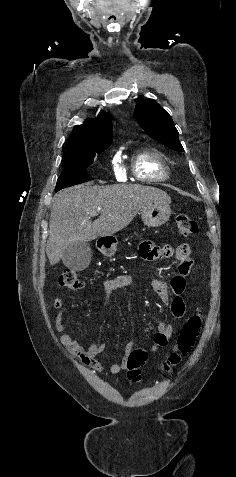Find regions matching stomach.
<instances>
[{
	"instance_id": "1",
	"label": "stomach",
	"mask_w": 236,
	"mask_h": 477,
	"mask_svg": "<svg viewBox=\"0 0 236 477\" xmlns=\"http://www.w3.org/2000/svg\"><path fill=\"white\" fill-rule=\"evenodd\" d=\"M171 214L167 202L157 201L145 205L141 209V218L148 227H159L166 223ZM104 240L99 245L100 252L107 257L115 255L118 250V241L113 236L102 237Z\"/></svg>"
}]
</instances>
